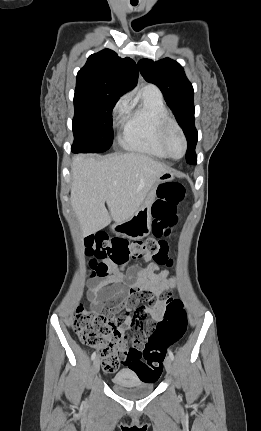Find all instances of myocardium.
Instances as JSON below:
<instances>
[{
    "instance_id": "myocardium-1",
    "label": "myocardium",
    "mask_w": 261,
    "mask_h": 431,
    "mask_svg": "<svg viewBox=\"0 0 261 431\" xmlns=\"http://www.w3.org/2000/svg\"><path fill=\"white\" fill-rule=\"evenodd\" d=\"M172 129L176 130L179 133V135L182 139V142H183V152L179 157L173 156L169 152V149L167 146V135H168L169 131ZM159 141H160V144H161L163 151L165 152L167 157H169L171 159L178 160V159H181L186 154L187 146H188L186 135H185L182 127L178 124V122L174 118L170 117L169 115L162 121V123L160 125Z\"/></svg>"
}]
</instances>
